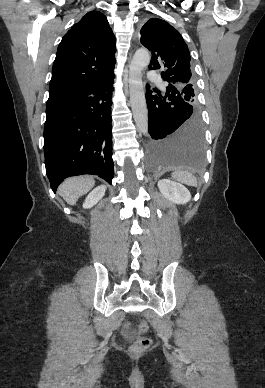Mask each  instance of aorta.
I'll list each match as a JSON object with an SVG mask.
<instances>
[{
	"label": "aorta",
	"mask_w": 265,
	"mask_h": 388,
	"mask_svg": "<svg viewBox=\"0 0 265 388\" xmlns=\"http://www.w3.org/2000/svg\"><path fill=\"white\" fill-rule=\"evenodd\" d=\"M151 56L145 49L135 52L129 66V93L133 117L138 130L147 134L148 113L142 81V71L149 64Z\"/></svg>",
	"instance_id": "1"
}]
</instances>
